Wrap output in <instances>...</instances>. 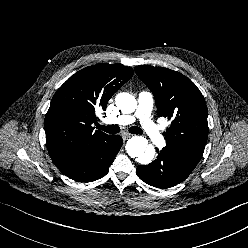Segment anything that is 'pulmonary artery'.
Instances as JSON below:
<instances>
[{"instance_id":"obj_1","label":"pulmonary artery","mask_w":248,"mask_h":248,"mask_svg":"<svg viewBox=\"0 0 248 248\" xmlns=\"http://www.w3.org/2000/svg\"><path fill=\"white\" fill-rule=\"evenodd\" d=\"M153 106V95L149 91H141L138 96V107L133 115H120L118 117L106 120V123L117 125H128L136 119L139 120L143 132L157 145L164 143V138L151 119V110Z\"/></svg>"}]
</instances>
